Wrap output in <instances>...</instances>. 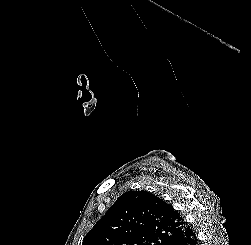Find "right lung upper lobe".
Listing matches in <instances>:
<instances>
[{"mask_svg":"<svg viewBox=\"0 0 251 245\" xmlns=\"http://www.w3.org/2000/svg\"><path fill=\"white\" fill-rule=\"evenodd\" d=\"M189 228L170 204L147 191L122 194L82 245H167Z\"/></svg>","mask_w":251,"mask_h":245,"instance_id":"cb5924a9","label":"right lung upper lobe"}]
</instances>
